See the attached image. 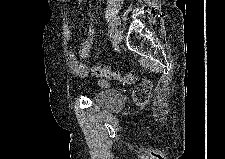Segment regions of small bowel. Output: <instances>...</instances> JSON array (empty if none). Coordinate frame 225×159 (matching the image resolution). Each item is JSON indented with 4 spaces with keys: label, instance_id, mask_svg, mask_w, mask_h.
I'll return each mask as SVG.
<instances>
[{
    "label": "small bowel",
    "instance_id": "small-bowel-1",
    "mask_svg": "<svg viewBox=\"0 0 225 159\" xmlns=\"http://www.w3.org/2000/svg\"><path fill=\"white\" fill-rule=\"evenodd\" d=\"M92 32L90 31L89 36L84 39L77 51L70 50L68 52L69 56V66L71 69V72L79 77H87L89 75L88 66L86 63L83 62V60H87L91 56V50L93 46V36ZM71 36L68 35V39H70Z\"/></svg>",
    "mask_w": 225,
    "mask_h": 159
}]
</instances>
